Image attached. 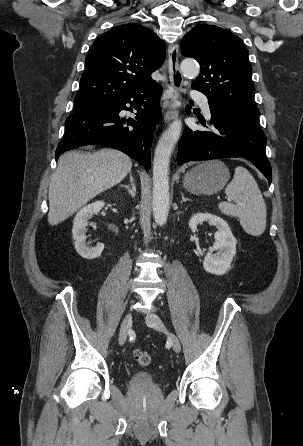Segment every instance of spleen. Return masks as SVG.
I'll return each mask as SVG.
<instances>
[{"label": "spleen", "instance_id": "1", "mask_svg": "<svg viewBox=\"0 0 303 446\" xmlns=\"http://www.w3.org/2000/svg\"><path fill=\"white\" fill-rule=\"evenodd\" d=\"M225 193L235 204L220 203L221 212L237 217L247 234L260 236L266 228V205L252 174L244 167H236Z\"/></svg>", "mask_w": 303, "mask_h": 446}]
</instances>
